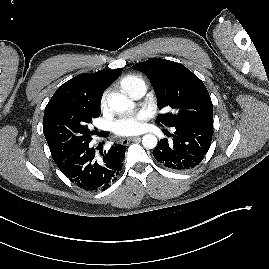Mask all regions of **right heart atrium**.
Segmentation results:
<instances>
[{
  "label": "right heart atrium",
  "mask_w": 269,
  "mask_h": 269,
  "mask_svg": "<svg viewBox=\"0 0 269 269\" xmlns=\"http://www.w3.org/2000/svg\"><path fill=\"white\" fill-rule=\"evenodd\" d=\"M106 105V95H104L101 99V108L105 107Z\"/></svg>",
  "instance_id": "right-heart-atrium-1"
}]
</instances>
